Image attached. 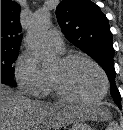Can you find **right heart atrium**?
I'll return each instance as SVG.
<instances>
[{
    "label": "right heart atrium",
    "instance_id": "1",
    "mask_svg": "<svg viewBox=\"0 0 123 130\" xmlns=\"http://www.w3.org/2000/svg\"><path fill=\"white\" fill-rule=\"evenodd\" d=\"M15 78L20 89L28 95L41 97L49 90V76L29 52L19 55Z\"/></svg>",
    "mask_w": 123,
    "mask_h": 130
}]
</instances>
